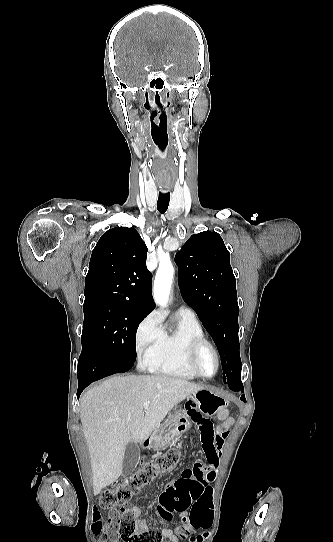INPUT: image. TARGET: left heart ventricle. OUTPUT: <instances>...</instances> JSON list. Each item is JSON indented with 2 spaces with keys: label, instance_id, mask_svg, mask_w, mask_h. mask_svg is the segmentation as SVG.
I'll return each instance as SVG.
<instances>
[{
  "label": "left heart ventricle",
  "instance_id": "b2bd125f",
  "mask_svg": "<svg viewBox=\"0 0 333 542\" xmlns=\"http://www.w3.org/2000/svg\"><path fill=\"white\" fill-rule=\"evenodd\" d=\"M200 372L204 375H212L215 371V359L208 348H204L197 359Z\"/></svg>",
  "mask_w": 333,
  "mask_h": 542
}]
</instances>
